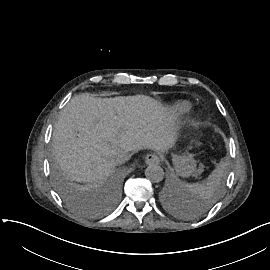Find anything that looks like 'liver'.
<instances>
[{"label":"liver","mask_w":270,"mask_h":270,"mask_svg":"<svg viewBox=\"0 0 270 270\" xmlns=\"http://www.w3.org/2000/svg\"><path fill=\"white\" fill-rule=\"evenodd\" d=\"M162 109L146 95L74 96L54 125L53 157L72 181L107 180L121 164L118 151L168 148L170 127L157 121Z\"/></svg>","instance_id":"liver-1"}]
</instances>
